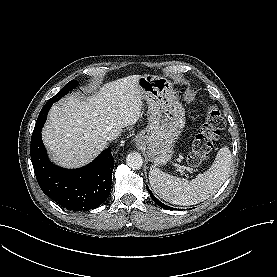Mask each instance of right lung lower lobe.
I'll use <instances>...</instances> for the list:
<instances>
[{
	"instance_id": "1",
	"label": "right lung lower lobe",
	"mask_w": 277,
	"mask_h": 277,
	"mask_svg": "<svg viewBox=\"0 0 277 277\" xmlns=\"http://www.w3.org/2000/svg\"><path fill=\"white\" fill-rule=\"evenodd\" d=\"M52 102H47L36 121L30 154L34 172L42 191L59 205L73 211H88L101 205L111 191L114 159L110 149L79 169H64L52 164L41 138Z\"/></svg>"
}]
</instances>
